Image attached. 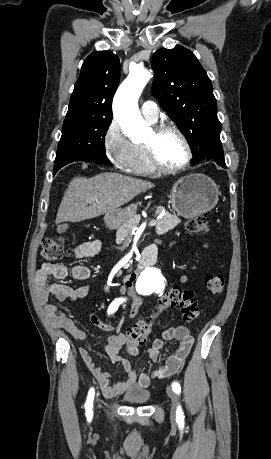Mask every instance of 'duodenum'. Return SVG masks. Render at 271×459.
I'll return each instance as SVG.
<instances>
[{"label": "duodenum", "instance_id": "duodenum-1", "mask_svg": "<svg viewBox=\"0 0 271 459\" xmlns=\"http://www.w3.org/2000/svg\"><path fill=\"white\" fill-rule=\"evenodd\" d=\"M141 264H144V260H142Z\"/></svg>", "mask_w": 271, "mask_h": 459}]
</instances>
